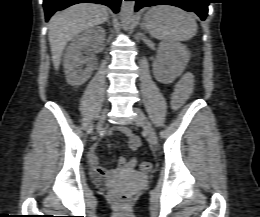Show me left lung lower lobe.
Segmentation results:
<instances>
[{
	"instance_id": "0a47b994",
	"label": "left lung lower lobe",
	"mask_w": 260,
	"mask_h": 217,
	"mask_svg": "<svg viewBox=\"0 0 260 217\" xmlns=\"http://www.w3.org/2000/svg\"><path fill=\"white\" fill-rule=\"evenodd\" d=\"M136 1L135 11L142 7H149L161 4L180 7L189 12H195L202 20L207 17L210 0H134Z\"/></svg>"
}]
</instances>
